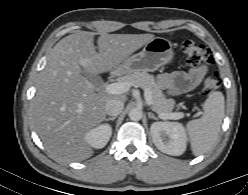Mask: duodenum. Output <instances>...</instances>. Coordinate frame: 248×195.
<instances>
[{"instance_id": "1", "label": "duodenum", "mask_w": 248, "mask_h": 195, "mask_svg": "<svg viewBox=\"0 0 248 195\" xmlns=\"http://www.w3.org/2000/svg\"><path fill=\"white\" fill-rule=\"evenodd\" d=\"M116 74H112L111 77H114Z\"/></svg>"}]
</instances>
